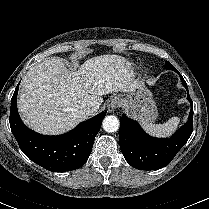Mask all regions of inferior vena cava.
<instances>
[{
    "instance_id": "602c4592",
    "label": "inferior vena cava",
    "mask_w": 209,
    "mask_h": 209,
    "mask_svg": "<svg viewBox=\"0 0 209 209\" xmlns=\"http://www.w3.org/2000/svg\"><path fill=\"white\" fill-rule=\"evenodd\" d=\"M84 111H85L86 115L91 116L97 112V108L93 107V106H87L84 109Z\"/></svg>"
}]
</instances>
